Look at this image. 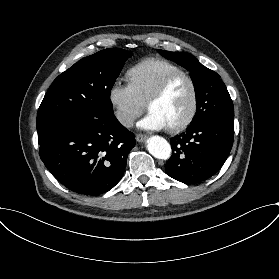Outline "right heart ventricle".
Masks as SVG:
<instances>
[{
  "label": "right heart ventricle",
  "mask_w": 279,
  "mask_h": 279,
  "mask_svg": "<svg viewBox=\"0 0 279 279\" xmlns=\"http://www.w3.org/2000/svg\"><path fill=\"white\" fill-rule=\"evenodd\" d=\"M184 71L169 60L149 57L133 65L127 72L129 85L140 100L147 101L161 82L171 74Z\"/></svg>",
  "instance_id": "1"
}]
</instances>
